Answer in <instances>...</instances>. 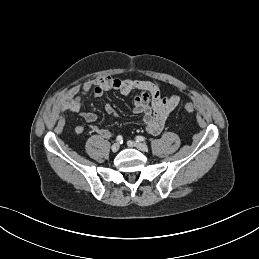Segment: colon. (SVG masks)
<instances>
[{"label":"colon","instance_id":"obj_1","mask_svg":"<svg viewBox=\"0 0 259 259\" xmlns=\"http://www.w3.org/2000/svg\"><path fill=\"white\" fill-rule=\"evenodd\" d=\"M183 109L186 111V112H188V113H191V112H193L194 111V105L192 104V103H185L184 105H183Z\"/></svg>","mask_w":259,"mask_h":259}]
</instances>
